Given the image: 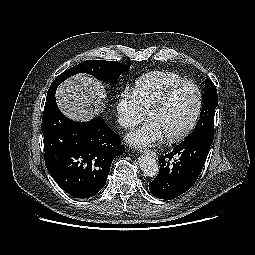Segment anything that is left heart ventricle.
I'll list each match as a JSON object with an SVG mask.
<instances>
[{"mask_svg": "<svg viewBox=\"0 0 255 255\" xmlns=\"http://www.w3.org/2000/svg\"><path fill=\"white\" fill-rule=\"evenodd\" d=\"M197 90L187 85L177 91L169 103L160 111L151 115L149 120L158 124L164 136L181 132L190 122L196 110Z\"/></svg>", "mask_w": 255, "mask_h": 255, "instance_id": "1", "label": "left heart ventricle"}]
</instances>
